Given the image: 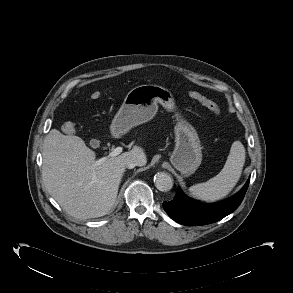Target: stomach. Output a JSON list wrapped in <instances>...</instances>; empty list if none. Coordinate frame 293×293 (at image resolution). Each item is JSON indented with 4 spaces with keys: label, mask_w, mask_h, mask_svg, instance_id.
Here are the masks:
<instances>
[{
    "label": "stomach",
    "mask_w": 293,
    "mask_h": 293,
    "mask_svg": "<svg viewBox=\"0 0 293 293\" xmlns=\"http://www.w3.org/2000/svg\"><path fill=\"white\" fill-rule=\"evenodd\" d=\"M158 103L175 111V148L170 161L183 175L189 176L202 161L200 139L195 128L177 111L174 97L167 88L146 84L131 89L112 121L111 133L120 137L131 128L151 120L158 111Z\"/></svg>",
    "instance_id": "1"
}]
</instances>
